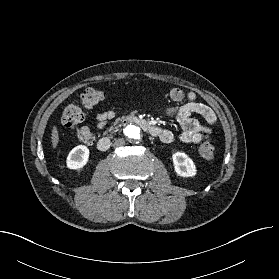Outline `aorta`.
<instances>
[{
    "mask_svg": "<svg viewBox=\"0 0 279 279\" xmlns=\"http://www.w3.org/2000/svg\"><path fill=\"white\" fill-rule=\"evenodd\" d=\"M125 136L130 140H139L141 137L140 128L136 125H127L124 129Z\"/></svg>",
    "mask_w": 279,
    "mask_h": 279,
    "instance_id": "obj_1",
    "label": "aorta"
}]
</instances>
